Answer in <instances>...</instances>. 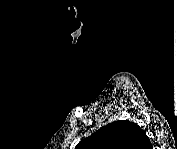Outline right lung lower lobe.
I'll return each instance as SVG.
<instances>
[{
    "instance_id": "98d812e1",
    "label": "right lung lower lobe",
    "mask_w": 177,
    "mask_h": 149,
    "mask_svg": "<svg viewBox=\"0 0 177 149\" xmlns=\"http://www.w3.org/2000/svg\"><path fill=\"white\" fill-rule=\"evenodd\" d=\"M144 143H145V146H146V147H150V140H149L148 137H146V138L144 139Z\"/></svg>"
}]
</instances>
